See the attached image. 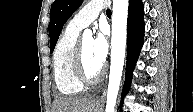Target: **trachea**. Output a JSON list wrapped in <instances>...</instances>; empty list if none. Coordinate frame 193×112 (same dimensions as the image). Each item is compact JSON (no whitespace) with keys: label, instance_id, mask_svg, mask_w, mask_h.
Returning <instances> with one entry per match:
<instances>
[{"label":"trachea","instance_id":"3493384b","mask_svg":"<svg viewBox=\"0 0 193 112\" xmlns=\"http://www.w3.org/2000/svg\"><path fill=\"white\" fill-rule=\"evenodd\" d=\"M106 13H107V15H111V10H110V9H107V10H106Z\"/></svg>","mask_w":193,"mask_h":112}]
</instances>
